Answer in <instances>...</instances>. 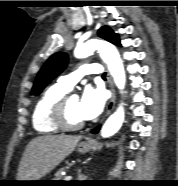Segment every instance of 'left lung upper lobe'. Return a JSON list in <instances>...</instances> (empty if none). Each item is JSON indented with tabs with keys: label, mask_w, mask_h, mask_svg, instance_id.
<instances>
[{
	"label": "left lung upper lobe",
	"mask_w": 178,
	"mask_h": 186,
	"mask_svg": "<svg viewBox=\"0 0 178 186\" xmlns=\"http://www.w3.org/2000/svg\"><path fill=\"white\" fill-rule=\"evenodd\" d=\"M98 35L115 45H121L118 35L114 33L108 26H104L99 29ZM67 63L68 55L66 53L57 52L53 54L39 71L32 88V95H39L45 86L48 85L66 68Z\"/></svg>",
	"instance_id": "1"
}]
</instances>
